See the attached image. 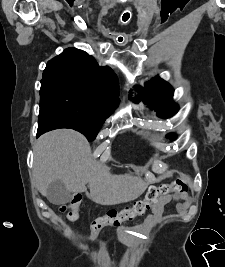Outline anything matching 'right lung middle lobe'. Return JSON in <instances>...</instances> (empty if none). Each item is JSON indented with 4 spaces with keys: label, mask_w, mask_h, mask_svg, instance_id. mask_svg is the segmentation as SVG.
<instances>
[{
    "label": "right lung middle lobe",
    "mask_w": 225,
    "mask_h": 267,
    "mask_svg": "<svg viewBox=\"0 0 225 267\" xmlns=\"http://www.w3.org/2000/svg\"><path fill=\"white\" fill-rule=\"evenodd\" d=\"M45 110L62 118L89 141L96 138L104 121L114 111L88 89L64 81L41 82L40 111Z\"/></svg>",
    "instance_id": "obj_1"
}]
</instances>
